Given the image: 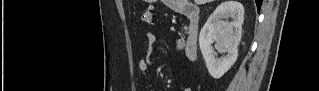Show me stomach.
Masks as SVG:
<instances>
[{"label": "stomach", "mask_w": 319, "mask_h": 91, "mask_svg": "<svg viewBox=\"0 0 319 91\" xmlns=\"http://www.w3.org/2000/svg\"><path fill=\"white\" fill-rule=\"evenodd\" d=\"M164 2H167L169 4H173V3H171V0H165Z\"/></svg>", "instance_id": "stomach-1"}]
</instances>
